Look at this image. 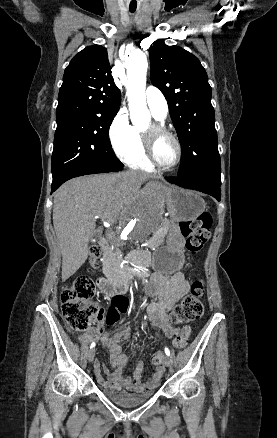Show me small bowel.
<instances>
[{"instance_id": "small-bowel-1", "label": "small bowel", "mask_w": 277, "mask_h": 438, "mask_svg": "<svg viewBox=\"0 0 277 438\" xmlns=\"http://www.w3.org/2000/svg\"><path fill=\"white\" fill-rule=\"evenodd\" d=\"M189 287V282L181 271H176L169 276L155 273L146 287V293L149 296L157 297L146 308L151 325L162 328L168 338L180 334L179 329L170 319V311L187 294ZM131 333L132 327L130 325H123L114 331H107L102 325H98L78 337L79 342L83 345H88L92 340L99 339L107 349L111 368L103 366L106 380L99 375V363L95 362L97 382L105 388L111 390L126 388L138 392L151 390L159 384L164 374V368H156L150 379L143 380L144 363L139 361L134 367L132 376L123 375L128 364V357L122 352L121 342L128 340Z\"/></svg>"}]
</instances>
